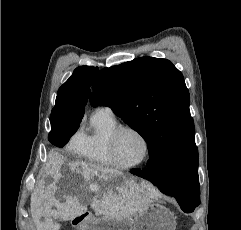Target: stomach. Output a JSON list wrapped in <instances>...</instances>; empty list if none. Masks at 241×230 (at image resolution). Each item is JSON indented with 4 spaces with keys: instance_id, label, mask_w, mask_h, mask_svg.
<instances>
[{
    "instance_id": "1",
    "label": "stomach",
    "mask_w": 241,
    "mask_h": 230,
    "mask_svg": "<svg viewBox=\"0 0 241 230\" xmlns=\"http://www.w3.org/2000/svg\"><path fill=\"white\" fill-rule=\"evenodd\" d=\"M124 180V175H114L112 184L117 186ZM174 214L158 203H149L145 209L138 212L133 221L117 219L89 218L79 230H175Z\"/></svg>"
}]
</instances>
